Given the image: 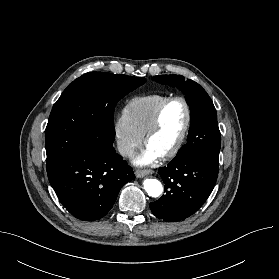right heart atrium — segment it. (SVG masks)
I'll return each instance as SVG.
<instances>
[{"label":"right heart atrium","mask_w":279,"mask_h":279,"mask_svg":"<svg viewBox=\"0 0 279 279\" xmlns=\"http://www.w3.org/2000/svg\"><path fill=\"white\" fill-rule=\"evenodd\" d=\"M114 130L119 153L122 156L131 155L140 145L142 136L132 127L124 113L116 118Z\"/></svg>","instance_id":"obj_1"}]
</instances>
